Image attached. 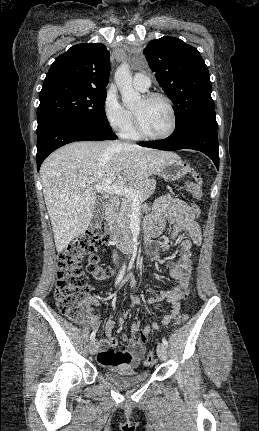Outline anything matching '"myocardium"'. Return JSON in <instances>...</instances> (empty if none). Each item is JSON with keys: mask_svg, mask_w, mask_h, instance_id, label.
Segmentation results:
<instances>
[{"mask_svg": "<svg viewBox=\"0 0 259 431\" xmlns=\"http://www.w3.org/2000/svg\"><path fill=\"white\" fill-rule=\"evenodd\" d=\"M143 99L145 101H150L153 99L163 100L169 109L170 116H171V123H170L169 129L165 133L159 134V135H152V134H149L148 132L145 131V129L143 128V126L141 124V121H140L138 115L135 112H132L134 129H135L136 133L138 134V136L141 138H144V139H148V140H163V139H166V138H169L170 136H172L173 133L175 132L176 126H177V116H176V111H175L172 100L167 95L160 93V92L147 93V94L143 95Z\"/></svg>", "mask_w": 259, "mask_h": 431, "instance_id": "obj_1", "label": "myocardium"}]
</instances>
